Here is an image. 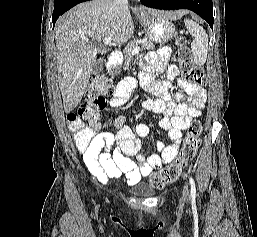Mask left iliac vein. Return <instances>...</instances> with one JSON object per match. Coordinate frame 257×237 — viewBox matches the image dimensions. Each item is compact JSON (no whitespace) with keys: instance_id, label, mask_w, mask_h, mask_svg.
I'll return each instance as SVG.
<instances>
[{"instance_id":"4c4485c4","label":"left iliac vein","mask_w":257,"mask_h":237,"mask_svg":"<svg viewBox=\"0 0 257 237\" xmlns=\"http://www.w3.org/2000/svg\"><path fill=\"white\" fill-rule=\"evenodd\" d=\"M182 198H183V200H188L189 199V189H188L187 184L184 185Z\"/></svg>"}]
</instances>
